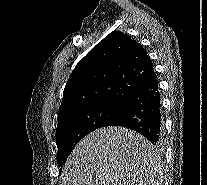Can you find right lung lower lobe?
I'll return each instance as SVG.
<instances>
[{"label":"right lung lower lobe","instance_id":"obj_1","mask_svg":"<svg viewBox=\"0 0 207 185\" xmlns=\"http://www.w3.org/2000/svg\"><path fill=\"white\" fill-rule=\"evenodd\" d=\"M106 126L134 130L160 148L163 140V114L157 79L131 96Z\"/></svg>","mask_w":207,"mask_h":185}]
</instances>
